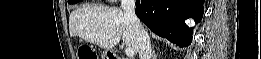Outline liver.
I'll return each mask as SVG.
<instances>
[{
    "instance_id": "6515ba94",
    "label": "liver",
    "mask_w": 261,
    "mask_h": 59,
    "mask_svg": "<svg viewBox=\"0 0 261 59\" xmlns=\"http://www.w3.org/2000/svg\"><path fill=\"white\" fill-rule=\"evenodd\" d=\"M69 32L107 50L122 38L126 46L139 51L135 30L121 8L94 5L78 8L70 15Z\"/></svg>"
}]
</instances>
